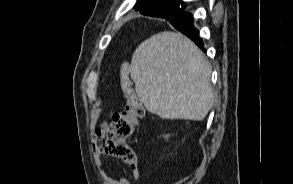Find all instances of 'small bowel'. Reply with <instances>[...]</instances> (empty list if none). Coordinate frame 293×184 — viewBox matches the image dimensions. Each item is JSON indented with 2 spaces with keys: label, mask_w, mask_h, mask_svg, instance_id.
<instances>
[{
  "label": "small bowel",
  "mask_w": 293,
  "mask_h": 184,
  "mask_svg": "<svg viewBox=\"0 0 293 184\" xmlns=\"http://www.w3.org/2000/svg\"><path fill=\"white\" fill-rule=\"evenodd\" d=\"M108 123L107 122H102L93 132L92 135V149H93V154H94V159L99 167L102 177H103V183L104 184H130L128 178L126 177H113L108 175L106 172L103 171V167L105 165L104 160L102 158V153L103 150L99 146V143L105 138V135L108 131ZM131 171L132 175L135 180H138L139 178V168L138 164L135 161L134 163L131 164Z\"/></svg>",
  "instance_id": "small-bowel-1"
}]
</instances>
